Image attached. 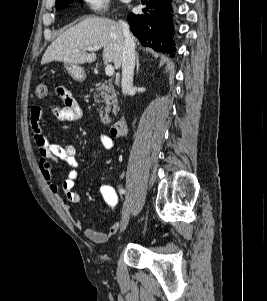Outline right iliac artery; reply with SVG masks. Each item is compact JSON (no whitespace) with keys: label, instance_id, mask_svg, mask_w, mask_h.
I'll return each instance as SVG.
<instances>
[{"label":"right iliac artery","instance_id":"1","mask_svg":"<svg viewBox=\"0 0 267 301\" xmlns=\"http://www.w3.org/2000/svg\"><path fill=\"white\" fill-rule=\"evenodd\" d=\"M119 193H120L121 195L124 194V193H125V189H123V188L120 189V190H119Z\"/></svg>","mask_w":267,"mask_h":301}]
</instances>
